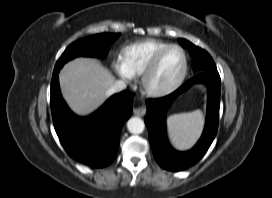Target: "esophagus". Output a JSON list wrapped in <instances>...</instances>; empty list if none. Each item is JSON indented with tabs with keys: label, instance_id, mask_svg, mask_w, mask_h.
Wrapping results in <instances>:
<instances>
[{
	"label": "esophagus",
	"instance_id": "obj_1",
	"mask_svg": "<svg viewBox=\"0 0 272 198\" xmlns=\"http://www.w3.org/2000/svg\"><path fill=\"white\" fill-rule=\"evenodd\" d=\"M133 113L136 115V116H144L145 113H146V108L141 106V107H136L133 109Z\"/></svg>",
	"mask_w": 272,
	"mask_h": 198
}]
</instances>
